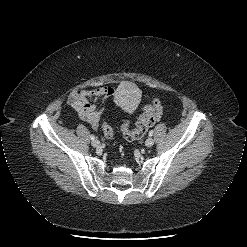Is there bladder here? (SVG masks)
<instances>
[{
    "mask_svg": "<svg viewBox=\"0 0 247 247\" xmlns=\"http://www.w3.org/2000/svg\"><path fill=\"white\" fill-rule=\"evenodd\" d=\"M127 88H129V89H131V90H134V91H135V95L137 94V88H136L134 85L128 84V85H127Z\"/></svg>",
    "mask_w": 247,
    "mask_h": 247,
    "instance_id": "31cf9c89",
    "label": "bladder"
}]
</instances>
